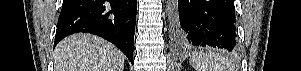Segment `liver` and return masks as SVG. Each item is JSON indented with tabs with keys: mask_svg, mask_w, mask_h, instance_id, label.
Masks as SVG:
<instances>
[{
	"mask_svg": "<svg viewBox=\"0 0 301 71\" xmlns=\"http://www.w3.org/2000/svg\"><path fill=\"white\" fill-rule=\"evenodd\" d=\"M124 54L91 34L64 38L54 50L55 71H123Z\"/></svg>",
	"mask_w": 301,
	"mask_h": 71,
	"instance_id": "1",
	"label": "liver"
}]
</instances>
